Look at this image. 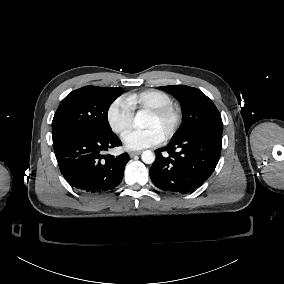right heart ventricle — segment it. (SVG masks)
I'll use <instances>...</instances> for the list:
<instances>
[{"label": "right heart ventricle", "mask_w": 284, "mask_h": 284, "mask_svg": "<svg viewBox=\"0 0 284 284\" xmlns=\"http://www.w3.org/2000/svg\"><path fill=\"white\" fill-rule=\"evenodd\" d=\"M129 100L133 108L143 110L173 104V100L167 92L155 88H148L134 93L129 97Z\"/></svg>", "instance_id": "1"}]
</instances>
